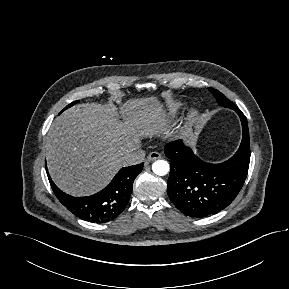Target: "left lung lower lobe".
Here are the masks:
<instances>
[{
	"instance_id": "obj_1",
	"label": "left lung lower lobe",
	"mask_w": 289,
	"mask_h": 289,
	"mask_svg": "<svg viewBox=\"0 0 289 289\" xmlns=\"http://www.w3.org/2000/svg\"><path fill=\"white\" fill-rule=\"evenodd\" d=\"M243 136L238 151L220 164L201 161L181 140L165 146L170 159L167 193L174 205L191 217L215 214L228 206L241 190L249 168L248 122L238 109Z\"/></svg>"
}]
</instances>
